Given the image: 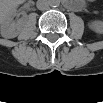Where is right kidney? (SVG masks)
I'll list each match as a JSON object with an SVG mask.
<instances>
[{
    "label": "right kidney",
    "mask_w": 103,
    "mask_h": 103,
    "mask_svg": "<svg viewBox=\"0 0 103 103\" xmlns=\"http://www.w3.org/2000/svg\"><path fill=\"white\" fill-rule=\"evenodd\" d=\"M19 2L14 0L4 1L0 9V33L4 38H14L20 31L22 20H13Z\"/></svg>",
    "instance_id": "obj_1"
}]
</instances>
